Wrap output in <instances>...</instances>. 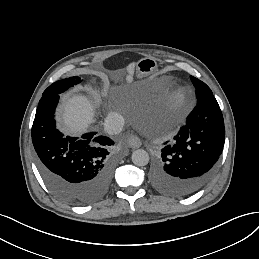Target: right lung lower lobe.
<instances>
[{
  "instance_id": "1",
  "label": "right lung lower lobe",
  "mask_w": 259,
  "mask_h": 259,
  "mask_svg": "<svg viewBox=\"0 0 259 259\" xmlns=\"http://www.w3.org/2000/svg\"><path fill=\"white\" fill-rule=\"evenodd\" d=\"M59 95L39 101L31 136L36 163L46 184L61 200L87 205L101 199L109 190L113 164L109 158L114 142L96 132L64 137L56 129L54 112Z\"/></svg>"
}]
</instances>
